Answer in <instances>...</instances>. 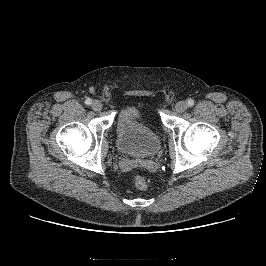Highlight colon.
Masks as SVG:
<instances>
[{
    "instance_id": "obj_1",
    "label": "colon",
    "mask_w": 266,
    "mask_h": 266,
    "mask_svg": "<svg viewBox=\"0 0 266 266\" xmlns=\"http://www.w3.org/2000/svg\"><path fill=\"white\" fill-rule=\"evenodd\" d=\"M134 185L140 190H145L148 187V179L140 174L134 176Z\"/></svg>"
}]
</instances>
